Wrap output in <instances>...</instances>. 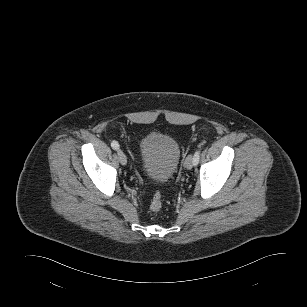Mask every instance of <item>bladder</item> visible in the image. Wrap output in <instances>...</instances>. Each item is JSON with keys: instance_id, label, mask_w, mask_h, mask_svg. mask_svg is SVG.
<instances>
[{"instance_id": "1", "label": "bladder", "mask_w": 307, "mask_h": 307, "mask_svg": "<svg viewBox=\"0 0 307 307\" xmlns=\"http://www.w3.org/2000/svg\"><path fill=\"white\" fill-rule=\"evenodd\" d=\"M180 156L178 142L167 134L150 133L139 142L141 167L152 182H168L177 170Z\"/></svg>"}]
</instances>
